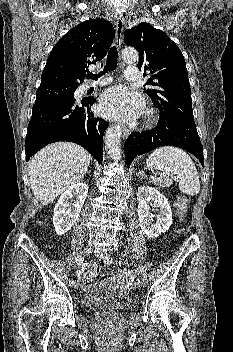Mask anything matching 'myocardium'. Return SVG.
Instances as JSON below:
<instances>
[{"mask_svg": "<svg viewBox=\"0 0 233 352\" xmlns=\"http://www.w3.org/2000/svg\"><path fill=\"white\" fill-rule=\"evenodd\" d=\"M148 119H152L154 117V113L152 111L147 112Z\"/></svg>", "mask_w": 233, "mask_h": 352, "instance_id": "f54148a6", "label": "myocardium"}]
</instances>
